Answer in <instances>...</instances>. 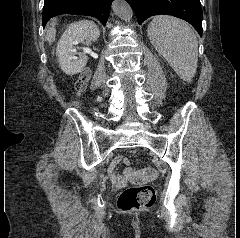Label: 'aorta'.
<instances>
[{
    "label": "aorta",
    "instance_id": "aorta-1",
    "mask_svg": "<svg viewBox=\"0 0 240 238\" xmlns=\"http://www.w3.org/2000/svg\"><path fill=\"white\" fill-rule=\"evenodd\" d=\"M112 10L122 20L130 21L132 19L133 11L125 0H114Z\"/></svg>",
    "mask_w": 240,
    "mask_h": 238
}]
</instances>
